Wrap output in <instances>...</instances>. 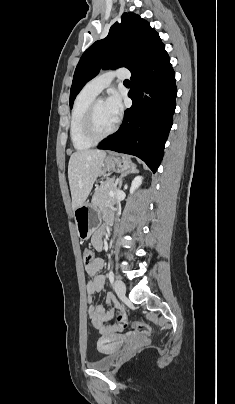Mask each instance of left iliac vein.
I'll use <instances>...</instances> for the list:
<instances>
[{
    "label": "left iliac vein",
    "instance_id": "4c4485c4",
    "mask_svg": "<svg viewBox=\"0 0 235 404\" xmlns=\"http://www.w3.org/2000/svg\"><path fill=\"white\" fill-rule=\"evenodd\" d=\"M114 289L118 297L122 298L125 296L126 287L123 281L117 279L114 283Z\"/></svg>",
    "mask_w": 235,
    "mask_h": 404
}]
</instances>
